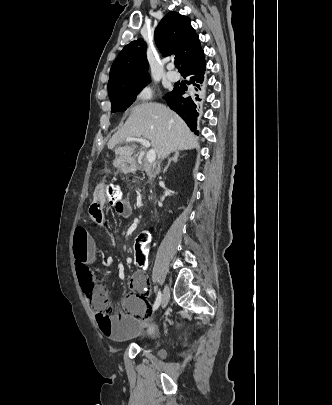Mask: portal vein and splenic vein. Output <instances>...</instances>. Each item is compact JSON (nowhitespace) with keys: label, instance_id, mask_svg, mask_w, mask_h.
<instances>
[{"label":"portal vein and splenic vein","instance_id":"18ae733b","mask_svg":"<svg viewBox=\"0 0 332 405\" xmlns=\"http://www.w3.org/2000/svg\"><path fill=\"white\" fill-rule=\"evenodd\" d=\"M126 142H139L143 147L148 148L151 146L150 141L144 138H136V137H128L126 138ZM156 159V152L154 149H150L147 152V161L148 163L152 164Z\"/></svg>","mask_w":332,"mask_h":405}]
</instances>
